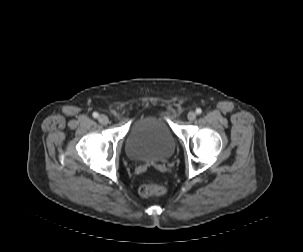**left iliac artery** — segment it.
<instances>
[{"mask_svg": "<svg viewBox=\"0 0 303 252\" xmlns=\"http://www.w3.org/2000/svg\"><path fill=\"white\" fill-rule=\"evenodd\" d=\"M196 113H197V114H201V113H202V110H201L200 108H197V109H196Z\"/></svg>", "mask_w": 303, "mask_h": 252, "instance_id": "left-iliac-artery-1", "label": "left iliac artery"}]
</instances>
